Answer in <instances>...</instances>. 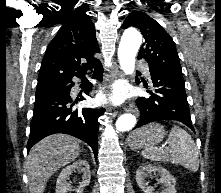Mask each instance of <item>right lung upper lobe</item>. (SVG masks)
I'll use <instances>...</instances> for the list:
<instances>
[{"instance_id": "1", "label": "right lung upper lobe", "mask_w": 221, "mask_h": 193, "mask_svg": "<svg viewBox=\"0 0 221 193\" xmlns=\"http://www.w3.org/2000/svg\"><path fill=\"white\" fill-rule=\"evenodd\" d=\"M99 52L95 28L88 15L71 16L50 42L42 60L37 88L83 77L89 67L100 61L94 57Z\"/></svg>"}]
</instances>
